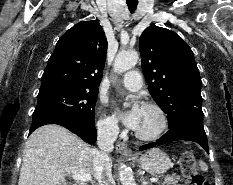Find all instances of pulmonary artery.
I'll list each match as a JSON object with an SVG mask.
<instances>
[{"instance_id": "1", "label": "pulmonary artery", "mask_w": 233, "mask_h": 185, "mask_svg": "<svg viewBox=\"0 0 233 185\" xmlns=\"http://www.w3.org/2000/svg\"><path fill=\"white\" fill-rule=\"evenodd\" d=\"M121 83L128 90L137 91L143 86V78L138 70L133 69L123 75Z\"/></svg>"}]
</instances>
